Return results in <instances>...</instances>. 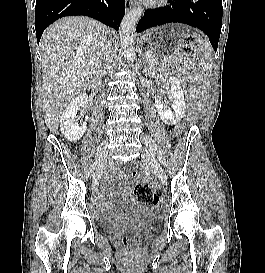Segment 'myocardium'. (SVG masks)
<instances>
[{
	"label": "myocardium",
	"instance_id": "f54148a6",
	"mask_svg": "<svg viewBox=\"0 0 265 273\" xmlns=\"http://www.w3.org/2000/svg\"><path fill=\"white\" fill-rule=\"evenodd\" d=\"M150 5L162 7L165 6L169 0H148Z\"/></svg>",
	"mask_w": 265,
	"mask_h": 273
}]
</instances>
